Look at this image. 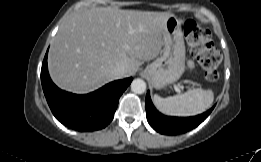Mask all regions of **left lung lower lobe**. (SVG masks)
Listing matches in <instances>:
<instances>
[{
    "label": "left lung lower lobe",
    "instance_id": "0a47b994",
    "mask_svg": "<svg viewBox=\"0 0 261 162\" xmlns=\"http://www.w3.org/2000/svg\"><path fill=\"white\" fill-rule=\"evenodd\" d=\"M147 120L151 127L164 135H178L185 133L201 124L212 112L213 108L193 117H170L161 114L153 105L149 91L146 95Z\"/></svg>",
    "mask_w": 261,
    "mask_h": 162
}]
</instances>
